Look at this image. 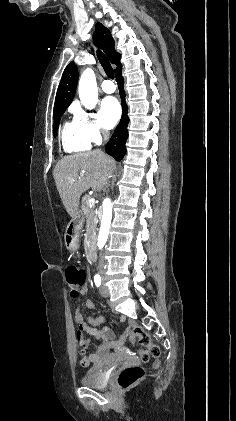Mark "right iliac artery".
<instances>
[{"instance_id":"82829eb1","label":"right iliac artery","mask_w":236,"mask_h":421,"mask_svg":"<svg viewBox=\"0 0 236 421\" xmlns=\"http://www.w3.org/2000/svg\"><path fill=\"white\" fill-rule=\"evenodd\" d=\"M94 282H95V285L97 286V287H100V285H101V276L100 275H95L94 276Z\"/></svg>"}]
</instances>
